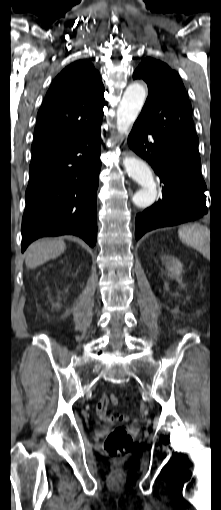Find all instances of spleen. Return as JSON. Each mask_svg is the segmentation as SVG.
<instances>
[{
    "mask_svg": "<svg viewBox=\"0 0 221 510\" xmlns=\"http://www.w3.org/2000/svg\"><path fill=\"white\" fill-rule=\"evenodd\" d=\"M180 240L201 252L205 257L210 255V230L202 225H183L178 229Z\"/></svg>",
    "mask_w": 221,
    "mask_h": 510,
    "instance_id": "3e777b00",
    "label": "spleen"
}]
</instances>
